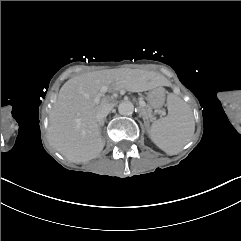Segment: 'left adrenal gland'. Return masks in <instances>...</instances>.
Returning a JSON list of instances; mask_svg holds the SVG:
<instances>
[{
	"label": "left adrenal gland",
	"instance_id": "obj_1",
	"mask_svg": "<svg viewBox=\"0 0 241 241\" xmlns=\"http://www.w3.org/2000/svg\"><path fill=\"white\" fill-rule=\"evenodd\" d=\"M142 115H143V120L145 121V124L147 126H149V119H148V117L145 114H142Z\"/></svg>",
	"mask_w": 241,
	"mask_h": 241
}]
</instances>
